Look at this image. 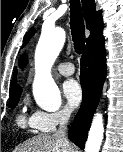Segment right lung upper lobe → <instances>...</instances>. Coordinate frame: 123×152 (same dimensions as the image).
Segmentation results:
<instances>
[{"label": "right lung upper lobe", "mask_w": 123, "mask_h": 152, "mask_svg": "<svg viewBox=\"0 0 123 152\" xmlns=\"http://www.w3.org/2000/svg\"><path fill=\"white\" fill-rule=\"evenodd\" d=\"M83 12L86 21L87 29L90 30V36L86 40V47L92 45L99 39L103 38V20L101 11H96L94 0H82ZM35 33L34 29H31L24 41L23 46L29 41L30 37ZM17 68L14 69V77L10 86V95L22 91L21 86L17 83L16 79Z\"/></svg>", "instance_id": "cb5924a9"}]
</instances>
